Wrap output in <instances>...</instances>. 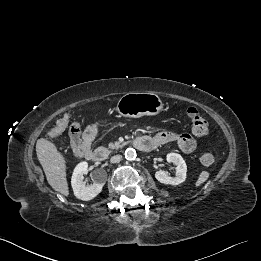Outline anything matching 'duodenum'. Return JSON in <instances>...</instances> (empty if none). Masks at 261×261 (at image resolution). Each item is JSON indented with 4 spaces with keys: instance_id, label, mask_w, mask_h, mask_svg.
<instances>
[{
    "instance_id": "duodenum-1",
    "label": "duodenum",
    "mask_w": 261,
    "mask_h": 261,
    "mask_svg": "<svg viewBox=\"0 0 261 261\" xmlns=\"http://www.w3.org/2000/svg\"><path fill=\"white\" fill-rule=\"evenodd\" d=\"M135 145L141 151H152L155 149V145L152 142L143 138H137L135 140ZM82 156L93 162H102L108 157V152L105 149L97 151L86 150L82 153Z\"/></svg>"
}]
</instances>
